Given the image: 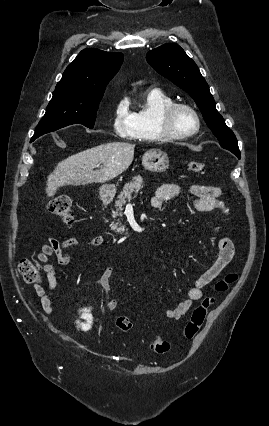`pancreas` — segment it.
Returning <instances> with one entry per match:
<instances>
[{
    "label": "pancreas",
    "instance_id": "pancreas-1",
    "mask_svg": "<svg viewBox=\"0 0 269 426\" xmlns=\"http://www.w3.org/2000/svg\"><path fill=\"white\" fill-rule=\"evenodd\" d=\"M143 179L141 176H135L132 178V180L125 184L123 191L120 193V195L117 197V200L115 201V208L116 210L113 212V217H117L119 214H121V211L124 210V206L127 201H130L133 199L134 194H137L140 189L143 188ZM111 230L122 233L125 231V227L121 226L119 222L117 223H111L110 225Z\"/></svg>",
    "mask_w": 269,
    "mask_h": 426
}]
</instances>
